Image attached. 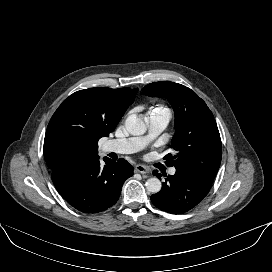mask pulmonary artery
I'll list each match as a JSON object with an SVG mask.
<instances>
[{
  "mask_svg": "<svg viewBox=\"0 0 272 272\" xmlns=\"http://www.w3.org/2000/svg\"><path fill=\"white\" fill-rule=\"evenodd\" d=\"M146 120L148 124V134L146 136L110 141L106 145L107 150L119 154H130L141 150L167 127L170 114L168 112L156 111L147 114ZM169 173L173 175L175 169H171Z\"/></svg>",
  "mask_w": 272,
  "mask_h": 272,
  "instance_id": "e3ab8cb5",
  "label": "pulmonary artery"
}]
</instances>
